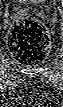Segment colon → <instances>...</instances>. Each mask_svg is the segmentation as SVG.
Masks as SVG:
<instances>
[{
  "label": "colon",
  "mask_w": 63,
  "mask_h": 107,
  "mask_svg": "<svg viewBox=\"0 0 63 107\" xmlns=\"http://www.w3.org/2000/svg\"><path fill=\"white\" fill-rule=\"evenodd\" d=\"M50 39L46 27L38 21L25 20L13 27L9 47L23 64L41 62L47 55Z\"/></svg>",
  "instance_id": "obj_1"
}]
</instances>
